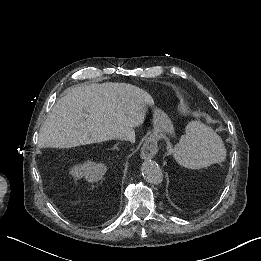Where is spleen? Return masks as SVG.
<instances>
[{
	"instance_id": "3e777b00",
	"label": "spleen",
	"mask_w": 261,
	"mask_h": 261,
	"mask_svg": "<svg viewBox=\"0 0 261 261\" xmlns=\"http://www.w3.org/2000/svg\"><path fill=\"white\" fill-rule=\"evenodd\" d=\"M178 162L189 169H200L223 162L226 151L222 140L207 126L191 122L176 146Z\"/></svg>"
}]
</instances>
